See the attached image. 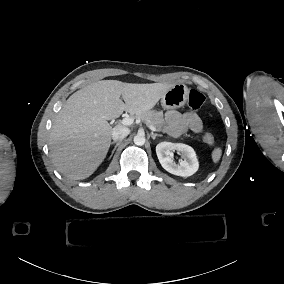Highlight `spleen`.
I'll return each mask as SVG.
<instances>
[{
	"label": "spleen",
	"mask_w": 284,
	"mask_h": 284,
	"mask_svg": "<svg viewBox=\"0 0 284 284\" xmlns=\"http://www.w3.org/2000/svg\"><path fill=\"white\" fill-rule=\"evenodd\" d=\"M222 153H223V148L220 145L215 146L213 148V150L211 151V159H212L213 164L219 163L222 157Z\"/></svg>",
	"instance_id": "obj_1"
}]
</instances>
